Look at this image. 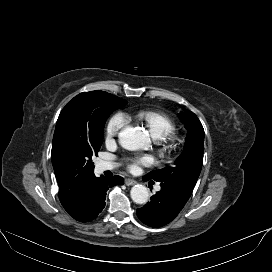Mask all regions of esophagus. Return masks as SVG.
Returning a JSON list of instances; mask_svg holds the SVG:
<instances>
[{"instance_id":"obj_1","label":"esophagus","mask_w":272,"mask_h":272,"mask_svg":"<svg viewBox=\"0 0 272 272\" xmlns=\"http://www.w3.org/2000/svg\"><path fill=\"white\" fill-rule=\"evenodd\" d=\"M125 184H126L127 186L134 185V184H136V181H135V180H132V179H126V180H125Z\"/></svg>"}]
</instances>
